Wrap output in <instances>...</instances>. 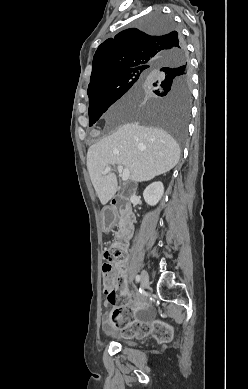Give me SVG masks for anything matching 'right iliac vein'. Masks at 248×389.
<instances>
[{
  "label": "right iliac vein",
  "mask_w": 248,
  "mask_h": 389,
  "mask_svg": "<svg viewBox=\"0 0 248 389\" xmlns=\"http://www.w3.org/2000/svg\"><path fill=\"white\" fill-rule=\"evenodd\" d=\"M148 282H149L148 273L145 270H143L141 272V286L145 287L148 284Z\"/></svg>",
  "instance_id": "right-iliac-vein-1"
}]
</instances>
